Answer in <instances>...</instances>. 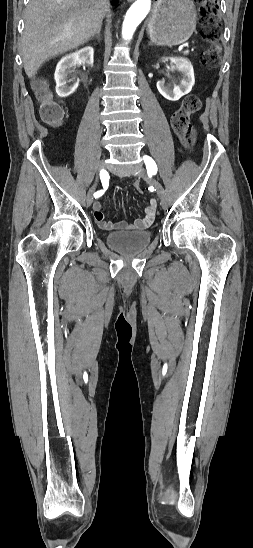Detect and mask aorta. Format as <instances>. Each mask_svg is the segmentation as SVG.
Listing matches in <instances>:
<instances>
[{
  "mask_svg": "<svg viewBox=\"0 0 253 548\" xmlns=\"http://www.w3.org/2000/svg\"><path fill=\"white\" fill-rule=\"evenodd\" d=\"M151 8V0H136L128 9L122 25V37L130 40Z\"/></svg>",
  "mask_w": 253,
  "mask_h": 548,
  "instance_id": "aorta-1",
  "label": "aorta"
}]
</instances>
